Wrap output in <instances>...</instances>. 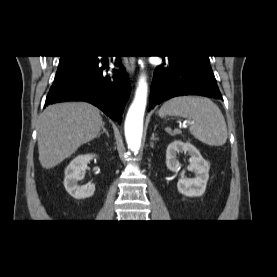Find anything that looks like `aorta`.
Masks as SVG:
<instances>
[{
	"instance_id": "aorta-1",
	"label": "aorta",
	"mask_w": 277,
	"mask_h": 277,
	"mask_svg": "<svg viewBox=\"0 0 277 277\" xmlns=\"http://www.w3.org/2000/svg\"><path fill=\"white\" fill-rule=\"evenodd\" d=\"M139 64L143 68V61L140 60ZM148 85L145 74H141L138 80V85L135 92V97L129 107L125 119V137L128 148L137 153L141 146V138L143 132V119L147 103Z\"/></svg>"
}]
</instances>
